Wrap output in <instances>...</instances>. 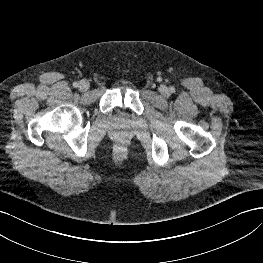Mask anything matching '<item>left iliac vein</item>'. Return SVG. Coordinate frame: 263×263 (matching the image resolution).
<instances>
[{
  "label": "left iliac vein",
  "mask_w": 263,
  "mask_h": 263,
  "mask_svg": "<svg viewBox=\"0 0 263 263\" xmlns=\"http://www.w3.org/2000/svg\"><path fill=\"white\" fill-rule=\"evenodd\" d=\"M159 91H160V93H161L162 95H164V96L169 95V90H168V88H167L166 86H164V85L159 88Z\"/></svg>",
  "instance_id": "left-iliac-vein-1"
}]
</instances>
